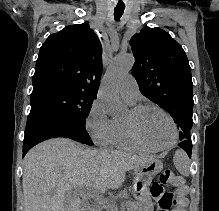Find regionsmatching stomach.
<instances>
[{"label":"stomach","instance_id":"obj_1","mask_svg":"<svg viewBox=\"0 0 219 211\" xmlns=\"http://www.w3.org/2000/svg\"><path fill=\"white\" fill-rule=\"evenodd\" d=\"M163 169V163L159 159H153L148 163L134 169L135 196L138 201L139 211H146L150 206L147 196V188L155 175Z\"/></svg>","mask_w":219,"mask_h":211}]
</instances>
